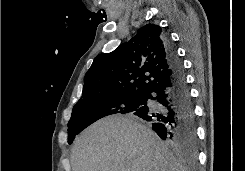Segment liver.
<instances>
[{
    "label": "liver",
    "instance_id": "liver-1",
    "mask_svg": "<svg viewBox=\"0 0 245 171\" xmlns=\"http://www.w3.org/2000/svg\"><path fill=\"white\" fill-rule=\"evenodd\" d=\"M72 171H186L160 138L133 116H109L75 140Z\"/></svg>",
    "mask_w": 245,
    "mask_h": 171
}]
</instances>
